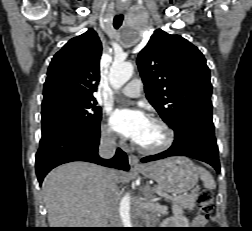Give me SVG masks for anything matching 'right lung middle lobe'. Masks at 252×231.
Here are the masks:
<instances>
[{
    "instance_id": "right-lung-middle-lobe-1",
    "label": "right lung middle lobe",
    "mask_w": 252,
    "mask_h": 231,
    "mask_svg": "<svg viewBox=\"0 0 252 231\" xmlns=\"http://www.w3.org/2000/svg\"><path fill=\"white\" fill-rule=\"evenodd\" d=\"M95 98L59 94L42 102V135L58 128L100 130L102 111Z\"/></svg>"
}]
</instances>
